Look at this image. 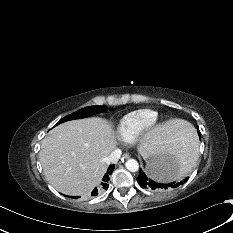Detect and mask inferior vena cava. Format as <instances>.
Segmentation results:
<instances>
[{
    "label": "inferior vena cava",
    "instance_id": "inferior-vena-cava-1",
    "mask_svg": "<svg viewBox=\"0 0 233 233\" xmlns=\"http://www.w3.org/2000/svg\"><path fill=\"white\" fill-rule=\"evenodd\" d=\"M121 150L120 149H115L111 152V154L107 157L106 162L108 164L113 163L116 164L118 162V160L121 157Z\"/></svg>",
    "mask_w": 233,
    "mask_h": 233
}]
</instances>
